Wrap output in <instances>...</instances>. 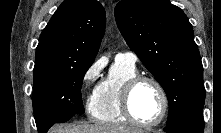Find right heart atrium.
<instances>
[{"mask_svg": "<svg viewBox=\"0 0 221 133\" xmlns=\"http://www.w3.org/2000/svg\"><path fill=\"white\" fill-rule=\"evenodd\" d=\"M100 70V63L94 62L86 69L81 79V93L86 96L87 106L89 109L95 93V90H92V87L100 74Z\"/></svg>", "mask_w": 221, "mask_h": 133, "instance_id": "1", "label": "right heart atrium"}]
</instances>
